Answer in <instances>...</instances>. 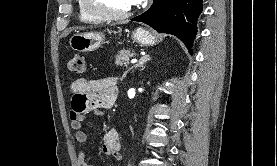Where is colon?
I'll return each mask as SVG.
<instances>
[{
	"label": "colon",
	"mask_w": 277,
	"mask_h": 166,
	"mask_svg": "<svg viewBox=\"0 0 277 166\" xmlns=\"http://www.w3.org/2000/svg\"><path fill=\"white\" fill-rule=\"evenodd\" d=\"M67 68L73 73H84L86 70V60L82 54L74 55L67 63Z\"/></svg>",
	"instance_id": "colon-1"
}]
</instances>
